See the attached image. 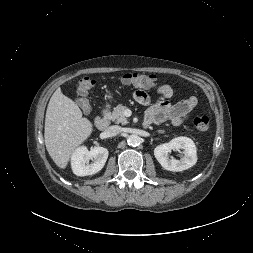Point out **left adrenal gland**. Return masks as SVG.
Masks as SVG:
<instances>
[{"label": "left adrenal gland", "mask_w": 253, "mask_h": 253, "mask_svg": "<svg viewBox=\"0 0 253 253\" xmlns=\"http://www.w3.org/2000/svg\"><path fill=\"white\" fill-rule=\"evenodd\" d=\"M158 133H163V131L159 130Z\"/></svg>", "instance_id": "left-adrenal-gland-1"}]
</instances>
